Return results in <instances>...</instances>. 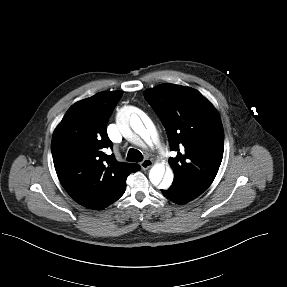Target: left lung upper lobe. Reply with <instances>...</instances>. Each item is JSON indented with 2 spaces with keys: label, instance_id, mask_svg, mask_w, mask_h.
<instances>
[{
  "label": "left lung upper lobe",
  "instance_id": "5c2ea615",
  "mask_svg": "<svg viewBox=\"0 0 287 287\" xmlns=\"http://www.w3.org/2000/svg\"><path fill=\"white\" fill-rule=\"evenodd\" d=\"M144 97L164 125L171 150L178 152L169 159L174 182L202 194L223 158L224 131L217 110L197 90L174 84L146 90Z\"/></svg>",
  "mask_w": 287,
  "mask_h": 287
}]
</instances>
